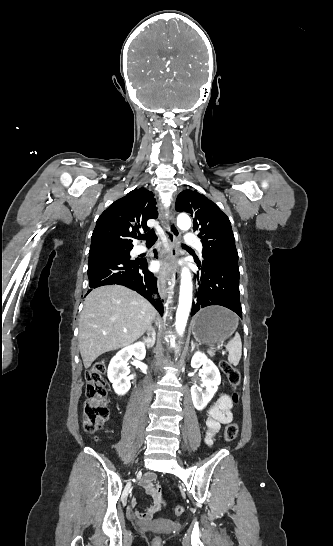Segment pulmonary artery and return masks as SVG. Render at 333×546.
I'll list each match as a JSON object with an SVG mask.
<instances>
[{
	"label": "pulmonary artery",
	"mask_w": 333,
	"mask_h": 546,
	"mask_svg": "<svg viewBox=\"0 0 333 546\" xmlns=\"http://www.w3.org/2000/svg\"><path fill=\"white\" fill-rule=\"evenodd\" d=\"M185 242L194 245L198 251L202 252V244L200 240L192 233H186L184 236ZM148 251V249L143 245H138L134 248L135 254H141Z\"/></svg>",
	"instance_id": "obj_1"
}]
</instances>
